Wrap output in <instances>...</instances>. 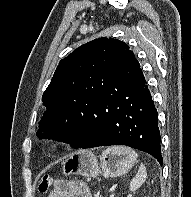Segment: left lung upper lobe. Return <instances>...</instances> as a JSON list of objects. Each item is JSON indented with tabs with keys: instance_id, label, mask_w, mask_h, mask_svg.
<instances>
[{
	"instance_id": "left-lung-upper-lobe-1",
	"label": "left lung upper lobe",
	"mask_w": 191,
	"mask_h": 197,
	"mask_svg": "<svg viewBox=\"0 0 191 197\" xmlns=\"http://www.w3.org/2000/svg\"><path fill=\"white\" fill-rule=\"evenodd\" d=\"M140 71L134 53L120 40L104 37L81 45L59 62L43 94L46 111L37 136L66 141L77 120L91 114L103 95Z\"/></svg>"
}]
</instances>
